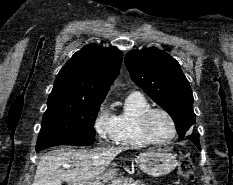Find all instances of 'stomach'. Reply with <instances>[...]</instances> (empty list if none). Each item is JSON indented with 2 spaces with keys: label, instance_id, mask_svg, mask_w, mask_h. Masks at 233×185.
Listing matches in <instances>:
<instances>
[{
  "label": "stomach",
  "instance_id": "obj_1",
  "mask_svg": "<svg viewBox=\"0 0 233 185\" xmlns=\"http://www.w3.org/2000/svg\"><path fill=\"white\" fill-rule=\"evenodd\" d=\"M139 168L146 174L152 176H163L169 174L177 165L175 156L164 150H156L140 153L137 157ZM116 176L115 170H109L97 178L76 182L72 185H105L106 182Z\"/></svg>",
  "mask_w": 233,
  "mask_h": 185
}]
</instances>
